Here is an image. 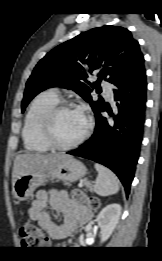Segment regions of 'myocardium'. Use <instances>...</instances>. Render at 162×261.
<instances>
[{
    "label": "myocardium",
    "mask_w": 162,
    "mask_h": 261,
    "mask_svg": "<svg viewBox=\"0 0 162 261\" xmlns=\"http://www.w3.org/2000/svg\"><path fill=\"white\" fill-rule=\"evenodd\" d=\"M74 109L75 107L72 103L64 101L58 102L45 113L41 122V132L45 142L50 146V148L61 151L70 150L79 146L89 135L91 130V121L86 118V128L78 139L68 144H62L57 141L54 134V122L57 115L63 111Z\"/></svg>",
    "instance_id": "myocardium-1"
}]
</instances>
